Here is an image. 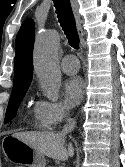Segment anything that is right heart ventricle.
Instances as JSON below:
<instances>
[{
    "label": "right heart ventricle",
    "mask_w": 125,
    "mask_h": 167,
    "mask_svg": "<svg viewBox=\"0 0 125 167\" xmlns=\"http://www.w3.org/2000/svg\"><path fill=\"white\" fill-rule=\"evenodd\" d=\"M33 125L36 128H45L37 119H35V121L33 122Z\"/></svg>",
    "instance_id": "1"
}]
</instances>
